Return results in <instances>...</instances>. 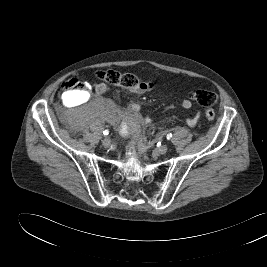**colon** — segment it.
<instances>
[{"label":"colon","instance_id":"obj_1","mask_svg":"<svg viewBox=\"0 0 267 267\" xmlns=\"http://www.w3.org/2000/svg\"><path fill=\"white\" fill-rule=\"evenodd\" d=\"M96 76L100 80L110 85L126 89L144 87L148 83L132 73H123L116 70L98 71ZM63 88L66 92L75 95L83 94L88 90L85 84L76 80H70L64 83ZM190 98L205 108L204 115L207 120L213 121L215 119V112L212 109V106L217 102L218 99L215 93L207 90H198L192 92Z\"/></svg>","mask_w":267,"mask_h":267}]
</instances>
